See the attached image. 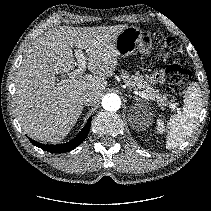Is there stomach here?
I'll list each match as a JSON object with an SVG mask.
<instances>
[{"instance_id":"1","label":"stomach","mask_w":211,"mask_h":211,"mask_svg":"<svg viewBox=\"0 0 211 211\" xmlns=\"http://www.w3.org/2000/svg\"><path fill=\"white\" fill-rule=\"evenodd\" d=\"M152 46L150 35L134 26L125 27L114 41V48L119 57H127L137 49L140 53L148 55Z\"/></svg>"}]
</instances>
